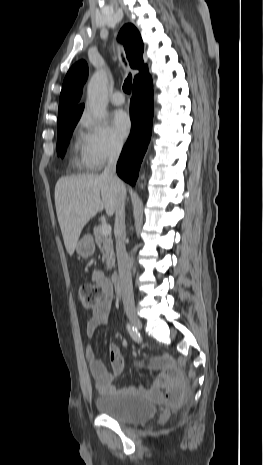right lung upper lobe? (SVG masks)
Wrapping results in <instances>:
<instances>
[{"label":"right lung upper lobe","mask_w":263,"mask_h":465,"mask_svg":"<svg viewBox=\"0 0 263 465\" xmlns=\"http://www.w3.org/2000/svg\"><path fill=\"white\" fill-rule=\"evenodd\" d=\"M118 40L124 45L127 59L131 68L139 69L134 82L147 74V66L143 62V42L139 31L132 24H126L118 34ZM88 76V67L85 61L75 63L68 71L62 86L59 99L58 122L83 111L84 105H78L83 85Z\"/></svg>","instance_id":"obj_1"}]
</instances>
